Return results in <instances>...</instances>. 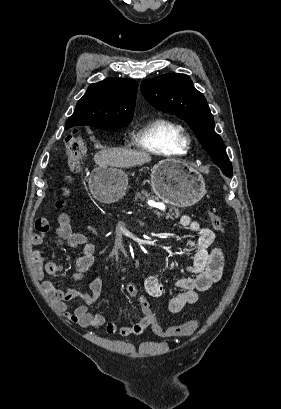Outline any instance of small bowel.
Returning <instances> with one entry per match:
<instances>
[{"label":"small bowel","mask_w":281,"mask_h":409,"mask_svg":"<svg viewBox=\"0 0 281 409\" xmlns=\"http://www.w3.org/2000/svg\"><path fill=\"white\" fill-rule=\"evenodd\" d=\"M59 226L56 230V245H67L68 247L78 249L80 257L76 261V271L73 275L75 282L82 281L85 278V271L92 265L96 245L88 241L82 233L72 231L70 218L67 214L60 215ZM180 225L189 229L194 238L190 241V247L193 251V261L188 267L191 276L179 279L176 286L181 291L170 300L167 310L170 314L179 313L182 308L188 304H194L198 300V294L208 290L213 284L218 282L222 276L224 268V254L221 249L213 247L214 233L210 228L201 226L190 216L184 215L180 218ZM51 225L46 222L44 215L37 217L30 229L32 235L29 241L32 245H39L44 240V235H48ZM32 258L35 263L38 278L42 280V287L48 297L55 302L59 311L70 321L77 323L84 328L99 329L104 327L108 334H120L121 336H136L141 334L153 322L157 321L156 314L150 307L148 301L139 295L137 286L134 283H128L125 291L131 297H136L143 312V317L136 323L130 325H119L109 320L102 314H96L89 311V306L94 305L102 291V282L99 278L89 280V292H84L74 287L68 289L58 288L52 281L43 279L44 273L55 275L62 271L63 266L59 262L48 261L46 255L41 250H34ZM144 289L154 297L161 296L163 285L155 275H149L144 280ZM75 298H81L84 304L79 305L70 312V302Z\"/></svg>","instance_id":"obj_1"}]
</instances>
